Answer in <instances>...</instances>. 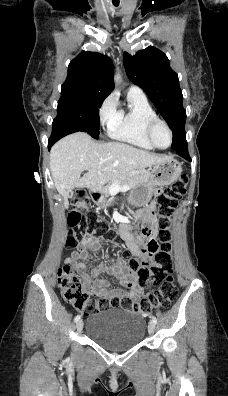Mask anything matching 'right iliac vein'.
Wrapping results in <instances>:
<instances>
[{"label":"right iliac vein","mask_w":228,"mask_h":396,"mask_svg":"<svg viewBox=\"0 0 228 396\" xmlns=\"http://www.w3.org/2000/svg\"><path fill=\"white\" fill-rule=\"evenodd\" d=\"M76 329H77V332H78V333H80V332L82 331V329H83V321H82V320H79V321L77 322V324H76Z\"/></svg>","instance_id":"obj_1"}]
</instances>
